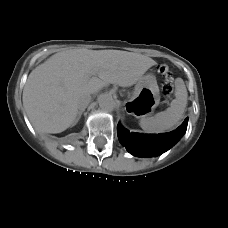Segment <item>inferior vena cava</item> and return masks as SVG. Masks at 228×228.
Instances as JSON below:
<instances>
[{"mask_svg": "<svg viewBox=\"0 0 228 228\" xmlns=\"http://www.w3.org/2000/svg\"><path fill=\"white\" fill-rule=\"evenodd\" d=\"M91 101V95L89 93H81L76 98V105L79 110H85Z\"/></svg>", "mask_w": 228, "mask_h": 228, "instance_id": "602c4592", "label": "inferior vena cava"}]
</instances>
